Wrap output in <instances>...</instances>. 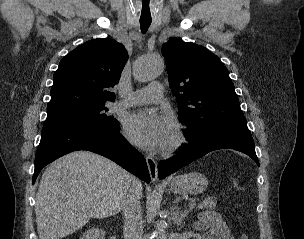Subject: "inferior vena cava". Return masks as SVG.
Masks as SVG:
<instances>
[{"label":"inferior vena cava","mask_w":304,"mask_h":239,"mask_svg":"<svg viewBox=\"0 0 304 239\" xmlns=\"http://www.w3.org/2000/svg\"><path fill=\"white\" fill-rule=\"evenodd\" d=\"M138 184V180L129 174L121 195V207L124 212V235L126 239H143L142 209L137 195Z\"/></svg>","instance_id":"602c4592"}]
</instances>
